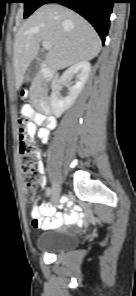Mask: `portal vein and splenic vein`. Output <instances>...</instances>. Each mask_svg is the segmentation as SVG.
<instances>
[{"label":"portal vein and splenic vein","instance_id":"1","mask_svg":"<svg viewBox=\"0 0 136 296\" xmlns=\"http://www.w3.org/2000/svg\"><path fill=\"white\" fill-rule=\"evenodd\" d=\"M42 46H43L44 49H47V50L51 49V47H52L51 44L48 41H43Z\"/></svg>","mask_w":136,"mask_h":296}]
</instances>
